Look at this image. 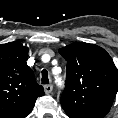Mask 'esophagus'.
<instances>
[{
    "instance_id": "1",
    "label": "esophagus",
    "mask_w": 118,
    "mask_h": 118,
    "mask_svg": "<svg viewBox=\"0 0 118 118\" xmlns=\"http://www.w3.org/2000/svg\"><path fill=\"white\" fill-rule=\"evenodd\" d=\"M44 90H45L46 94H50L52 92V90H53V86L51 84L45 85L44 86Z\"/></svg>"
}]
</instances>
